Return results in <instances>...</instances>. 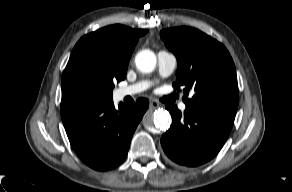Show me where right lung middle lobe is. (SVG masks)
Returning <instances> with one entry per match:
<instances>
[{
	"label": "right lung middle lobe",
	"instance_id": "obj_1",
	"mask_svg": "<svg viewBox=\"0 0 292 192\" xmlns=\"http://www.w3.org/2000/svg\"><path fill=\"white\" fill-rule=\"evenodd\" d=\"M121 80L89 57L71 54L62 75L61 103H108L112 101L114 82Z\"/></svg>",
	"mask_w": 292,
	"mask_h": 192
}]
</instances>
